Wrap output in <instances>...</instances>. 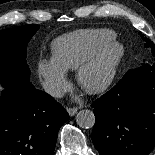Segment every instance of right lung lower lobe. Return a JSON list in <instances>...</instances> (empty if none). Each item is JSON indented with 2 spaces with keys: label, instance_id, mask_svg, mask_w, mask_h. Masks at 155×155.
Returning a JSON list of instances; mask_svg holds the SVG:
<instances>
[{
  "label": "right lung lower lobe",
  "instance_id": "right-lung-lower-lobe-1",
  "mask_svg": "<svg viewBox=\"0 0 155 155\" xmlns=\"http://www.w3.org/2000/svg\"><path fill=\"white\" fill-rule=\"evenodd\" d=\"M28 92L0 97V155H53L60 127L69 119L61 104L31 84Z\"/></svg>",
  "mask_w": 155,
  "mask_h": 155
}]
</instances>
